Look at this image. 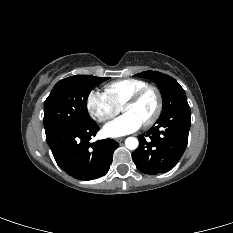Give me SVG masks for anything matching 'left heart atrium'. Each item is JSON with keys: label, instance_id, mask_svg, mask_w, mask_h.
<instances>
[{"label": "left heart atrium", "instance_id": "obj_1", "mask_svg": "<svg viewBox=\"0 0 233 233\" xmlns=\"http://www.w3.org/2000/svg\"><path fill=\"white\" fill-rule=\"evenodd\" d=\"M141 125V122L132 114L124 113L107 123L103 128V132L108 137H121L137 131Z\"/></svg>", "mask_w": 233, "mask_h": 233}]
</instances>
